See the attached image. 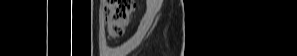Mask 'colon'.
Here are the masks:
<instances>
[{"label":"colon","mask_w":297,"mask_h":56,"mask_svg":"<svg viewBox=\"0 0 297 56\" xmlns=\"http://www.w3.org/2000/svg\"><path fill=\"white\" fill-rule=\"evenodd\" d=\"M135 11L133 0H112L105 6L108 34L112 39L122 36Z\"/></svg>","instance_id":"obj_1"}]
</instances>
